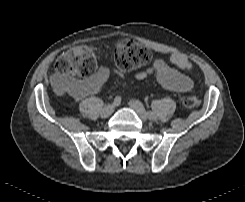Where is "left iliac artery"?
<instances>
[{"instance_id": "obj_1", "label": "left iliac artery", "mask_w": 245, "mask_h": 202, "mask_svg": "<svg viewBox=\"0 0 245 202\" xmlns=\"http://www.w3.org/2000/svg\"><path fill=\"white\" fill-rule=\"evenodd\" d=\"M147 115H148V117L150 118V119H153L154 118V113L153 112H147Z\"/></svg>"}]
</instances>
